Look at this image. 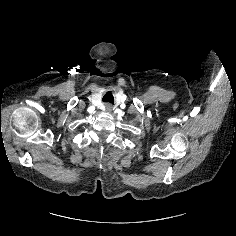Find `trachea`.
Returning <instances> with one entry per match:
<instances>
[{
    "label": "trachea",
    "mask_w": 236,
    "mask_h": 236,
    "mask_svg": "<svg viewBox=\"0 0 236 236\" xmlns=\"http://www.w3.org/2000/svg\"><path fill=\"white\" fill-rule=\"evenodd\" d=\"M103 102L114 104V97L110 91L104 95Z\"/></svg>",
    "instance_id": "3493384b"
}]
</instances>
